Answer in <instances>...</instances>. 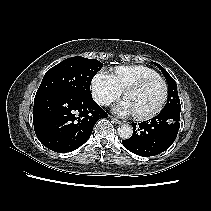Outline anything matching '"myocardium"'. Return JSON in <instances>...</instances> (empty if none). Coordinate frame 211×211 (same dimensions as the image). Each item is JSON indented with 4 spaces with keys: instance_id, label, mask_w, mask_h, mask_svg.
<instances>
[{
    "instance_id": "f54148a6",
    "label": "myocardium",
    "mask_w": 211,
    "mask_h": 211,
    "mask_svg": "<svg viewBox=\"0 0 211 211\" xmlns=\"http://www.w3.org/2000/svg\"><path fill=\"white\" fill-rule=\"evenodd\" d=\"M160 82L162 83L163 87H164V95L163 98L159 104V106L152 112L145 114V115H137L134 114V118L138 121H147L150 120L154 117H156L157 115H159L162 110L164 109L166 102L168 100L169 97V88H168V84L167 82L160 76L158 77H148V78H144L141 79L133 84H131L130 86H128L123 93V96L125 97L127 93L131 92V91H137L140 90L142 88H144L145 86L153 83V82Z\"/></svg>"
}]
</instances>
